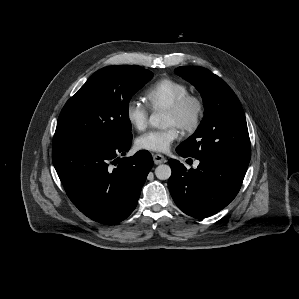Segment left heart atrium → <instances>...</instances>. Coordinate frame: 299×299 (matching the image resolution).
<instances>
[{
    "label": "left heart atrium",
    "mask_w": 299,
    "mask_h": 299,
    "mask_svg": "<svg viewBox=\"0 0 299 299\" xmlns=\"http://www.w3.org/2000/svg\"><path fill=\"white\" fill-rule=\"evenodd\" d=\"M179 137L178 129L172 125L164 130H152L136 139V147L141 150L164 152Z\"/></svg>",
    "instance_id": "left-heart-atrium-1"
}]
</instances>
